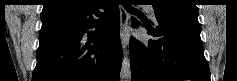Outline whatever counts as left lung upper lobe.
<instances>
[{
	"instance_id": "5c2ea615",
	"label": "left lung upper lobe",
	"mask_w": 237,
	"mask_h": 81,
	"mask_svg": "<svg viewBox=\"0 0 237 81\" xmlns=\"http://www.w3.org/2000/svg\"><path fill=\"white\" fill-rule=\"evenodd\" d=\"M155 16L183 17L198 19V9L194 0H152Z\"/></svg>"
}]
</instances>
